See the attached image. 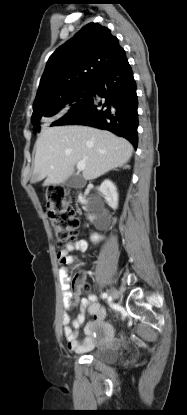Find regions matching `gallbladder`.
<instances>
[{
    "label": "gallbladder",
    "mask_w": 187,
    "mask_h": 415,
    "mask_svg": "<svg viewBox=\"0 0 187 415\" xmlns=\"http://www.w3.org/2000/svg\"><path fill=\"white\" fill-rule=\"evenodd\" d=\"M84 184L85 181L83 180V178L77 175H71L64 181V185L70 188H81L84 186Z\"/></svg>",
    "instance_id": "gallbladder-1"
}]
</instances>
